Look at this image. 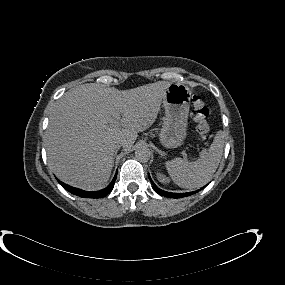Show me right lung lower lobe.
Returning a JSON list of instances; mask_svg holds the SVG:
<instances>
[{
    "mask_svg": "<svg viewBox=\"0 0 285 285\" xmlns=\"http://www.w3.org/2000/svg\"><path fill=\"white\" fill-rule=\"evenodd\" d=\"M116 177H117V173H116L114 179L112 180V182L109 184V186H107L106 188H104L100 191H84V190L69 186V185H67V184H65L59 180H58V182L67 191H69L70 193L77 195L79 197H82V198H102V197L108 195L112 191L114 184H115Z\"/></svg>",
    "mask_w": 285,
    "mask_h": 285,
    "instance_id": "right-lung-lower-lobe-1",
    "label": "right lung lower lobe"
}]
</instances>
